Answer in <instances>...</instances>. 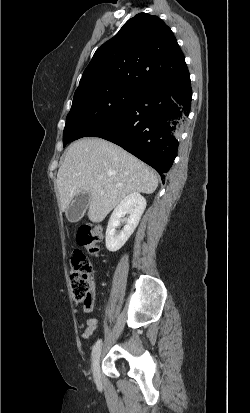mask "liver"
<instances>
[{"label":"liver","instance_id":"liver-1","mask_svg":"<svg viewBox=\"0 0 250 413\" xmlns=\"http://www.w3.org/2000/svg\"><path fill=\"white\" fill-rule=\"evenodd\" d=\"M56 186L61 211L67 210L77 195L88 193V218L101 222L127 195L152 194L158 186V176L116 144L101 138H82L65 153Z\"/></svg>","mask_w":250,"mask_h":413}]
</instances>
